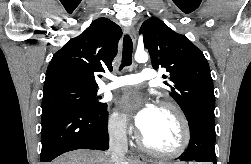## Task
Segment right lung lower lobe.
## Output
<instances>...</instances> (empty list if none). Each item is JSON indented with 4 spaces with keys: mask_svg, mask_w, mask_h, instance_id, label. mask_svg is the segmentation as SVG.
Returning <instances> with one entry per match:
<instances>
[{
    "mask_svg": "<svg viewBox=\"0 0 251 164\" xmlns=\"http://www.w3.org/2000/svg\"><path fill=\"white\" fill-rule=\"evenodd\" d=\"M107 105L97 111L72 107L42 110L41 162L77 149L107 150Z\"/></svg>",
    "mask_w": 251,
    "mask_h": 164,
    "instance_id": "1",
    "label": "right lung lower lobe"
}]
</instances>
